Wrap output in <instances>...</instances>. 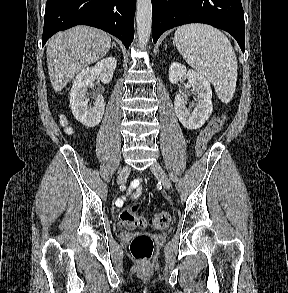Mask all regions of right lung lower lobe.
<instances>
[{"label":"right lung lower lobe","instance_id":"98d812e1","mask_svg":"<svg viewBox=\"0 0 288 293\" xmlns=\"http://www.w3.org/2000/svg\"><path fill=\"white\" fill-rule=\"evenodd\" d=\"M136 0H47L42 45L56 32L76 25L100 28L128 49L134 38Z\"/></svg>","mask_w":288,"mask_h":293}]
</instances>
